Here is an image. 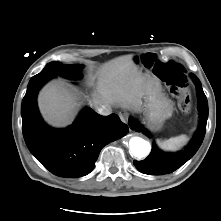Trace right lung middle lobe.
I'll list each match as a JSON object with an SVG mask.
<instances>
[{"instance_id":"dd1d6c3e","label":"right lung middle lobe","mask_w":221,"mask_h":221,"mask_svg":"<svg viewBox=\"0 0 221 221\" xmlns=\"http://www.w3.org/2000/svg\"><path fill=\"white\" fill-rule=\"evenodd\" d=\"M82 67L83 65L78 64L63 66L60 62H50L38 75H49L52 77L60 75L68 79H78L82 76L80 71Z\"/></svg>"}]
</instances>
